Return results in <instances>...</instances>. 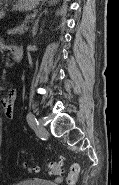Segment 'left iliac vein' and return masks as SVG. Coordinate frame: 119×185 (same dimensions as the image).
I'll return each instance as SVG.
<instances>
[{"label":"left iliac vein","mask_w":119,"mask_h":185,"mask_svg":"<svg viewBox=\"0 0 119 185\" xmlns=\"http://www.w3.org/2000/svg\"><path fill=\"white\" fill-rule=\"evenodd\" d=\"M38 132L40 134H44L46 132L43 121L39 119L38 121V128H37Z\"/></svg>","instance_id":"4c4485c4"}]
</instances>
